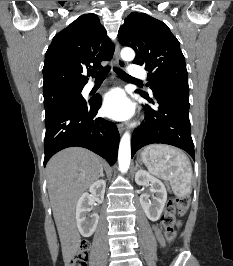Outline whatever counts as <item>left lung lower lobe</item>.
Here are the masks:
<instances>
[{
	"instance_id": "obj_1",
	"label": "left lung lower lobe",
	"mask_w": 233,
	"mask_h": 266,
	"mask_svg": "<svg viewBox=\"0 0 233 266\" xmlns=\"http://www.w3.org/2000/svg\"><path fill=\"white\" fill-rule=\"evenodd\" d=\"M152 91L155 101L145 93L142 97L156 108L145 106L146 119L132 136V157L143 146L161 143L179 147L195 159L190 133L188 83L173 82Z\"/></svg>"
}]
</instances>
